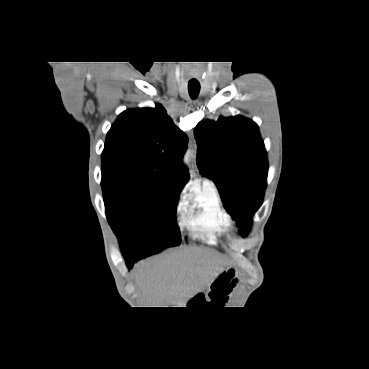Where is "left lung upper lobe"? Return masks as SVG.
<instances>
[{"label": "left lung upper lobe", "instance_id": "left-lung-upper-lobe-1", "mask_svg": "<svg viewBox=\"0 0 369 369\" xmlns=\"http://www.w3.org/2000/svg\"><path fill=\"white\" fill-rule=\"evenodd\" d=\"M194 135L201 174L215 182L224 207L246 236L267 185V154L257 124L239 115L220 117L199 122Z\"/></svg>", "mask_w": 369, "mask_h": 369}]
</instances>
